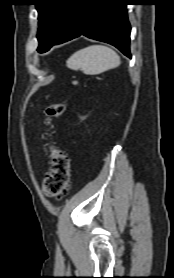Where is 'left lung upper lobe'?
<instances>
[{
  "label": "left lung upper lobe",
  "mask_w": 174,
  "mask_h": 278,
  "mask_svg": "<svg viewBox=\"0 0 174 278\" xmlns=\"http://www.w3.org/2000/svg\"><path fill=\"white\" fill-rule=\"evenodd\" d=\"M77 0H37L39 28L37 51H48L60 38Z\"/></svg>",
  "instance_id": "1"
}]
</instances>
